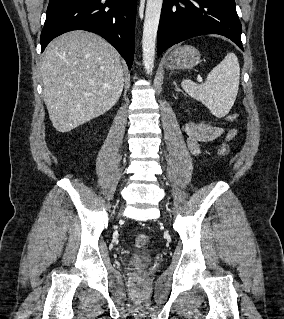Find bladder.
I'll use <instances>...</instances> for the list:
<instances>
[{"label": "bladder", "instance_id": "bladder-1", "mask_svg": "<svg viewBox=\"0 0 284 319\" xmlns=\"http://www.w3.org/2000/svg\"><path fill=\"white\" fill-rule=\"evenodd\" d=\"M152 262V256L146 251H140L135 253L130 258V263L136 267H146Z\"/></svg>", "mask_w": 284, "mask_h": 319}]
</instances>
